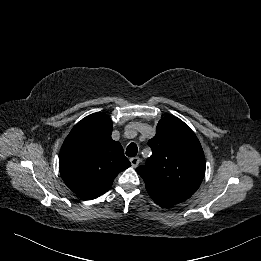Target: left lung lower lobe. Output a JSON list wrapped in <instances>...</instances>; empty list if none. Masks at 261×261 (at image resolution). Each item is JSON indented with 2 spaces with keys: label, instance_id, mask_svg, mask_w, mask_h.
<instances>
[{
  "label": "left lung lower lobe",
  "instance_id": "left-lung-lower-lobe-1",
  "mask_svg": "<svg viewBox=\"0 0 261 261\" xmlns=\"http://www.w3.org/2000/svg\"><path fill=\"white\" fill-rule=\"evenodd\" d=\"M151 198L161 206H172L175 204L182 203L186 201L188 198L175 195V194H167V193H158V192H148Z\"/></svg>",
  "mask_w": 261,
  "mask_h": 261
}]
</instances>
